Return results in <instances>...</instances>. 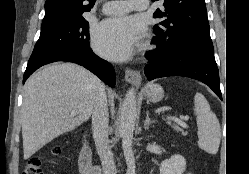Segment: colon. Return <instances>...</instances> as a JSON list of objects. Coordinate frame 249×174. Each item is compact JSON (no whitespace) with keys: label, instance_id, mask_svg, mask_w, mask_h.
Masks as SVG:
<instances>
[{"label":"colon","instance_id":"colon-1","mask_svg":"<svg viewBox=\"0 0 249 174\" xmlns=\"http://www.w3.org/2000/svg\"><path fill=\"white\" fill-rule=\"evenodd\" d=\"M59 152V149L58 148H55L53 150V153H58ZM42 163H43V158L41 156H33L31 157L23 171H22V174H43V169H42Z\"/></svg>","mask_w":249,"mask_h":174}]
</instances>
